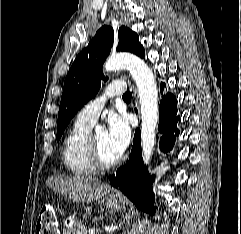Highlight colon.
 <instances>
[{
    "label": "colon",
    "instance_id": "5ec220e1",
    "mask_svg": "<svg viewBox=\"0 0 241 234\" xmlns=\"http://www.w3.org/2000/svg\"><path fill=\"white\" fill-rule=\"evenodd\" d=\"M58 220L52 206H45L38 216L37 234H57Z\"/></svg>",
    "mask_w": 241,
    "mask_h": 234
}]
</instances>
